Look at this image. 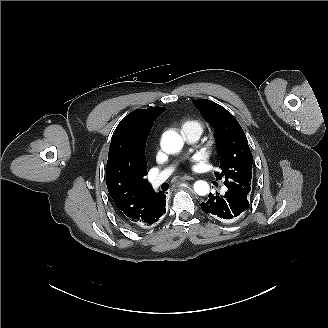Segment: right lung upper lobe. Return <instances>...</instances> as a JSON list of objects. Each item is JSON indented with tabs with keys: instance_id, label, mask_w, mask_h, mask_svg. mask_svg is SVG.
<instances>
[{
	"instance_id": "obj_1",
	"label": "right lung upper lobe",
	"mask_w": 328,
	"mask_h": 328,
	"mask_svg": "<svg viewBox=\"0 0 328 328\" xmlns=\"http://www.w3.org/2000/svg\"><path fill=\"white\" fill-rule=\"evenodd\" d=\"M166 108L137 109L115 129L109 148L106 184L119 216L136 225L151 211L156 193L145 176L147 162L139 147L137 132L141 125L155 121Z\"/></svg>"
}]
</instances>
